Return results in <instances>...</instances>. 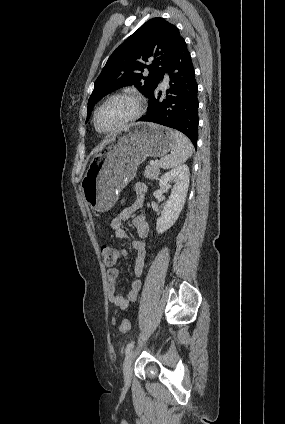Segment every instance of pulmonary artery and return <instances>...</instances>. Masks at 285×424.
<instances>
[{
	"label": "pulmonary artery",
	"instance_id": "pulmonary-artery-1",
	"mask_svg": "<svg viewBox=\"0 0 285 424\" xmlns=\"http://www.w3.org/2000/svg\"><path fill=\"white\" fill-rule=\"evenodd\" d=\"M168 83V77H165L163 80V85H166Z\"/></svg>",
	"mask_w": 285,
	"mask_h": 424
}]
</instances>
